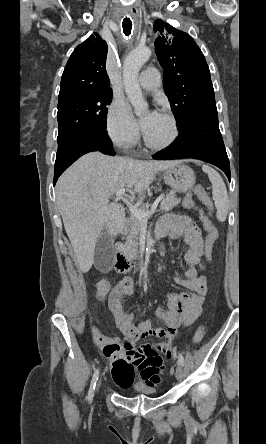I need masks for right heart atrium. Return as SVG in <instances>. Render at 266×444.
I'll list each match as a JSON object with an SVG mask.
<instances>
[{"label":"right heart atrium","mask_w":266,"mask_h":444,"mask_svg":"<svg viewBox=\"0 0 266 444\" xmlns=\"http://www.w3.org/2000/svg\"><path fill=\"white\" fill-rule=\"evenodd\" d=\"M106 131L112 142L120 147H130L139 138V126L127 103L113 99L106 115Z\"/></svg>","instance_id":"right-heart-atrium-1"}]
</instances>
